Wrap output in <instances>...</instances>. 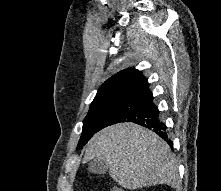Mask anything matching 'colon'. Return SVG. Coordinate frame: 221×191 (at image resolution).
I'll return each instance as SVG.
<instances>
[{"label": "colon", "instance_id": "5ec220e1", "mask_svg": "<svg viewBox=\"0 0 221 191\" xmlns=\"http://www.w3.org/2000/svg\"><path fill=\"white\" fill-rule=\"evenodd\" d=\"M111 191H124V190L121 189V188L115 187V188H113Z\"/></svg>", "mask_w": 221, "mask_h": 191}]
</instances>
